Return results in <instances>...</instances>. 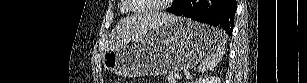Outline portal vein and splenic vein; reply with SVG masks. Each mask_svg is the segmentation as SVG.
<instances>
[{
	"label": "portal vein and splenic vein",
	"instance_id": "1",
	"mask_svg": "<svg viewBox=\"0 0 307 83\" xmlns=\"http://www.w3.org/2000/svg\"><path fill=\"white\" fill-rule=\"evenodd\" d=\"M175 78H176V79H179V78H180V75H179V74H175Z\"/></svg>",
	"mask_w": 307,
	"mask_h": 83
}]
</instances>
